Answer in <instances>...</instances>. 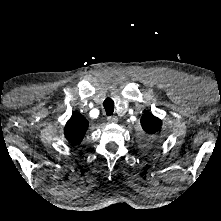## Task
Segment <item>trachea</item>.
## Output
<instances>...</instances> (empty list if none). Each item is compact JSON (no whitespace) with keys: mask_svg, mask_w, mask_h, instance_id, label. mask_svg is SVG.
Segmentation results:
<instances>
[{"mask_svg":"<svg viewBox=\"0 0 221 221\" xmlns=\"http://www.w3.org/2000/svg\"><path fill=\"white\" fill-rule=\"evenodd\" d=\"M105 112L107 116H111L114 112V101L111 98H107L103 102Z\"/></svg>","mask_w":221,"mask_h":221,"instance_id":"trachea-1","label":"trachea"}]
</instances>
